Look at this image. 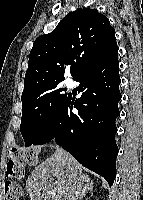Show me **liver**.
<instances>
[{
    "label": "liver",
    "instance_id": "liver-1",
    "mask_svg": "<svg viewBox=\"0 0 143 200\" xmlns=\"http://www.w3.org/2000/svg\"><path fill=\"white\" fill-rule=\"evenodd\" d=\"M88 179L72 155L56 151L35 167L26 180V188L31 200H77Z\"/></svg>",
    "mask_w": 143,
    "mask_h": 200
}]
</instances>
